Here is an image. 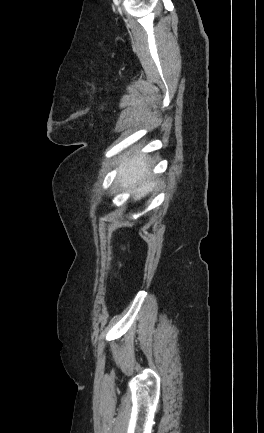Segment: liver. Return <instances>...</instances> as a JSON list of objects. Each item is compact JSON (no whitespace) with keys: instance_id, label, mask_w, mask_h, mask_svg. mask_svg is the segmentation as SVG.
<instances>
[{"instance_id":"obj_1","label":"liver","mask_w":264,"mask_h":433,"mask_svg":"<svg viewBox=\"0 0 264 433\" xmlns=\"http://www.w3.org/2000/svg\"><path fill=\"white\" fill-rule=\"evenodd\" d=\"M147 160L146 156L134 153L130 157H125L120 164L116 182L124 190H132L134 201L141 200L155 187V183L149 177L151 166Z\"/></svg>"}]
</instances>
